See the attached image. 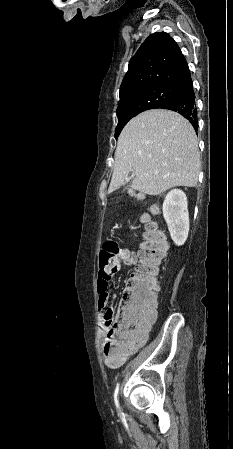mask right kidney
<instances>
[{
    "label": "right kidney",
    "instance_id": "obj_1",
    "mask_svg": "<svg viewBox=\"0 0 233 449\" xmlns=\"http://www.w3.org/2000/svg\"><path fill=\"white\" fill-rule=\"evenodd\" d=\"M188 202L182 190H171L163 202V216L170 236L177 246L185 243L189 232Z\"/></svg>",
    "mask_w": 233,
    "mask_h": 449
}]
</instances>
